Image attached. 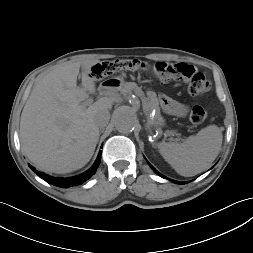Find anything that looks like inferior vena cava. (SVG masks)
<instances>
[{
  "label": "inferior vena cava",
  "instance_id": "obj_1",
  "mask_svg": "<svg viewBox=\"0 0 253 253\" xmlns=\"http://www.w3.org/2000/svg\"><path fill=\"white\" fill-rule=\"evenodd\" d=\"M110 119V113L107 110H103L95 116V123L99 128L105 127Z\"/></svg>",
  "mask_w": 253,
  "mask_h": 253
}]
</instances>
